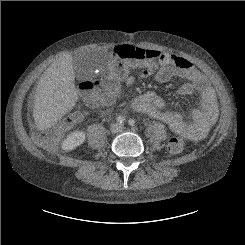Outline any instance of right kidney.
Listing matches in <instances>:
<instances>
[{"label":"right kidney","mask_w":245,"mask_h":245,"mask_svg":"<svg viewBox=\"0 0 245 245\" xmlns=\"http://www.w3.org/2000/svg\"><path fill=\"white\" fill-rule=\"evenodd\" d=\"M86 139V134L83 131H75L67 136L62 143V149L65 151H71L77 146L83 144Z\"/></svg>","instance_id":"1"}]
</instances>
